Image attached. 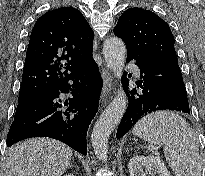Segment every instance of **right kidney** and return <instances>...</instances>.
Masks as SVG:
<instances>
[{"label":"right kidney","instance_id":"1","mask_svg":"<svg viewBox=\"0 0 205 176\" xmlns=\"http://www.w3.org/2000/svg\"><path fill=\"white\" fill-rule=\"evenodd\" d=\"M66 176H74V175H72V174H69V175H66Z\"/></svg>","mask_w":205,"mask_h":176}]
</instances>
